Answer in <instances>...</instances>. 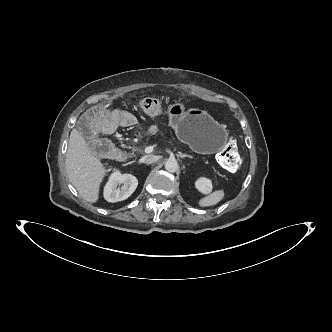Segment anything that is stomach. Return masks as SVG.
<instances>
[{"mask_svg":"<svg viewBox=\"0 0 332 332\" xmlns=\"http://www.w3.org/2000/svg\"><path fill=\"white\" fill-rule=\"evenodd\" d=\"M168 115L178 139L197 152L215 153L227 143L226 129L206 111L198 108L186 111L182 103H175L170 106Z\"/></svg>","mask_w":332,"mask_h":332,"instance_id":"stomach-1","label":"stomach"}]
</instances>
